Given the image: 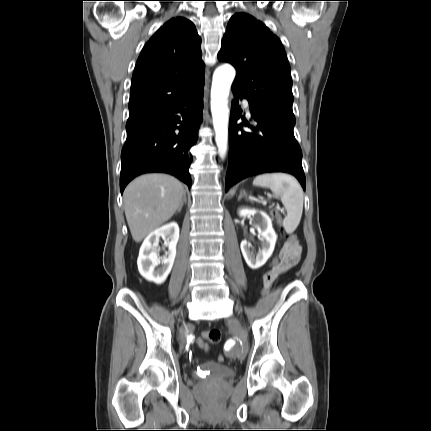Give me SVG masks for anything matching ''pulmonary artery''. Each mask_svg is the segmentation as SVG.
I'll return each mask as SVG.
<instances>
[{"label":"pulmonary artery","instance_id":"1","mask_svg":"<svg viewBox=\"0 0 431 431\" xmlns=\"http://www.w3.org/2000/svg\"><path fill=\"white\" fill-rule=\"evenodd\" d=\"M243 105H244V108H245V110H246L247 115H248V116H250V115H251V113H250V108H249V104H248V102H247V101H244V102H243Z\"/></svg>","mask_w":431,"mask_h":431}]
</instances>
